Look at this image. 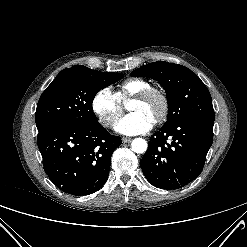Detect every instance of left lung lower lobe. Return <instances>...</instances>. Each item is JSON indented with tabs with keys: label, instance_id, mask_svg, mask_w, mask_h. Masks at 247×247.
Here are the masks:
<instances>
[{
	"label": "left lung lower lobe",
	"instance_id": "0a47b994",
	"mask_svg": "<svg viewBox=\"0 0 247 247\" xmlns=\"http://www.w3.org/2000/svg\"><path fill=\"white\" fill-rule=\"evenodd\" d=\"M213 142V125L182 120L163 126L150 137L140 166L146 179L161 189H179L202 172Z\"/></svg>",
	"mask_w": 247,
	"mask_h": 247
}]
</instances>
